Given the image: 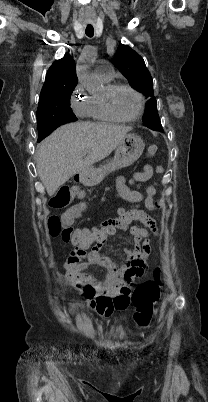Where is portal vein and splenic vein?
Here are the masks:
<instances>
[{
	"mask_svg": "<svg viewBox=\"0 0 208 402\" xmlns=\"http://www.w3.org/2000/svg\"><path fill=\"white\" fill-rule=\"evenodd\" d=\"M84 157H85L84 162H87V160H89V154H88V153H85V154H84Z\"/></svg>",
	"mask_w": 208,
	"mask_h": 402,
	"instance_id": "portal-vein-and-splenic-vein-1",
	"label": "portal vein and splenic vein"
}]
</instances>
